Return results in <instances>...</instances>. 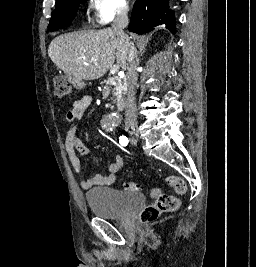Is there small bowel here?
<instances>
[{
  "label": "small bowel",
  "instance_id": "1",
  "mask_svg": "<svg viewBox=\"0 0 256 267\" xmlns=\"http://www.w3.org/2000/svg\"><path fill=\"white\" fill-rule=\"evenodd\" d=\"M91 97L84 95L80 99L73 103L72 108L66 114V120L69 122H76L80 120L86 110L91 105ZM65 150L69 159V162L76 174L83 172L80 155L88 156L90 154L89 149L85 146L82 139L78 135L77 125H72L65 137ZM124 164V160L121 156H118L114 162L109 164L107 174H96L91 178L81 180V187L85 190L91 189L96 186H111L115 180L117 173L121 170Z\"/></svg>",
  "mask_w": 256,
  "mask_h": 267
}]
</instances>
